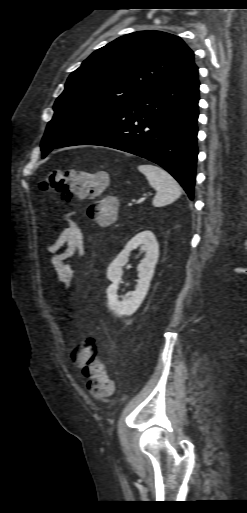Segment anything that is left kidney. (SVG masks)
Returning a JSON list of instances; mask_svg holds the SVG:
<instances>
[{"label":"left kidney","mask_w":247,"mask_h":513,"mask_svg":"<svg viewBox=\"0 0 247 513\" xmlns=\"http://www.w3.org/2000/svg\"><path fill=\"white\" fill-rule=\"evenodd\" d=\"M138 247L145 252V257L137 267L138 284L135 291L119 301L117 292L123 274L122 267L128 262L131 251ZM158 257L159 245L155 235L151 231H143L135 235L109 265L107 277L112 284L107 289L108 308L115 316H130L140 307L149 290Z\"/></svg>","instance_id":"obj_1"}]
</instances>
